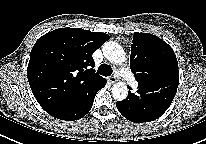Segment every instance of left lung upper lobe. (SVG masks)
Wrapping results in <instances>:
<instances>
[{"label":"left lung upper lobe","mask_w":206,"mask_h":144,"mask_svg":"<svg viewBox=\"0 0 206 144\" xmlns=\"http://www.w3.org/2000/svg\"><path fill=\"white\" fill-rule=\"evenodd\" d=\"M130 67L139 87H145L150 97L164 96L172 102L179 71L176 55L166 42L149 33H134Z\"/></svg>","instance_id":"1"}]
</instances>
